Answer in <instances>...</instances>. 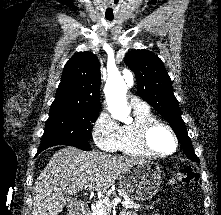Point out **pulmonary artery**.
I'll use <instances>...</instances> for the list:
<instances>
[{
	"label": "pulmonary artery",
	"mask_w": 221,
	"mask_h": 215,
	"mask_svg": "<svg viewBox=\"0 0 221 215\" xmlns=\"http://www.w3.org/2000/svg\"><path fill=\"white\" fill-rule=\"evenodd\" d=\"M130 105L133 109H145L148 108V105L137 97H132L130 99Z\"/></svg>",
	"instance_id": "1"
}]
</instances>
